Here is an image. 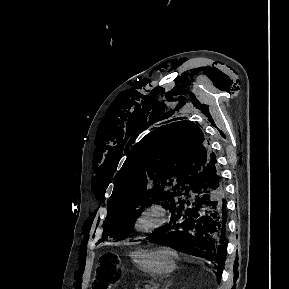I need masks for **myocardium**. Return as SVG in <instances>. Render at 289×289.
I'll use <instances>...</instances> for the list:
<instances>
[{"instance_id": "myocardium-1", "label": "myocardium", "mask_w": 289, "mask_h": 289, "mask_svg": "<svg viewBox=\"0 0 289 289\" xmlns=\"http://www.w3.org/2000/svg\"><path fill=\"white\" fill-rule=\"evenodd\" d=\"M155 214L157 216L156 223L148 227H140L141 220L149 214ZM169 211L168 209L160 203H153L146 206L137 216L134 222V229L139 233H152L160 228H162L168 221Z\"/></svg>"}]
</instances>
